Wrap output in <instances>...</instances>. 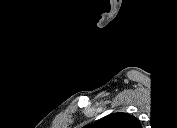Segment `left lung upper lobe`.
<instances>
[{"label": "left lung upper lobe", "instance_id": "5c2ea615", "mask_svg": "<svg viewBox=\"0 0 177 128\" xmlns=\"http://www.w3.org/2000/svg\"><path fill=\"white\" fill-rule=\"evenodd\" d=\"M96 124L100 128H140L141 125L137 118L127 113L118 112L108 115Z\"/></svg>", "mask_w": 177, "mask_h": 128}]
</instances>
